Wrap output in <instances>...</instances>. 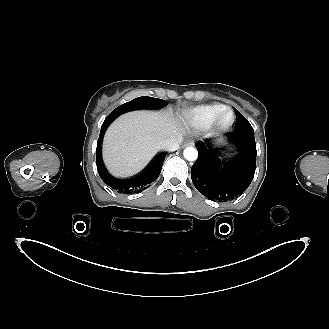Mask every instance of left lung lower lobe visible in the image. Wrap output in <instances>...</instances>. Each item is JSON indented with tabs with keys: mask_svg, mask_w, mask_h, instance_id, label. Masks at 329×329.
I'll return each mask as SVG.
<instances>
[{
	"mask_svg": "<svg viewBox=\"0 0 329 329\" xmlns=\"http://www.w3.org/2000/svg\"><path fill=\"white\" fill-rule=\"evenodd\" d=\"M227 143L234 149V158L220 164L215 144H197L198 158L191 168L196 189L210 200L231 201L251 184L256 168L254 130H234L227 134Z\"/></svg>",
	"mask_w": 329,
	"mask_h": 329,
	"instance_id": "1",
	"label": "left lung lower lobe"
}]
</instances>
